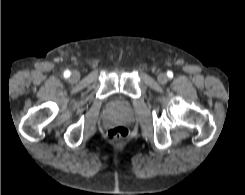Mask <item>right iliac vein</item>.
<instances>
[{"mask_svg": "<svg viewBox=\"0 0 245 195\" xmlns=\"http://www.w3.org/2000/svg\"><path fill=\"white\" fill-rule=\"evenodd\" d=\"M79 78H80L79 72L73 71L72 74H71V76H70V80L72 82H77L79 80Z\"/></svg>", "mask_w": 245, "mask_h": 195, "instance_id": "63e3f726", "label": "right iliac vein"}]
</instances>
